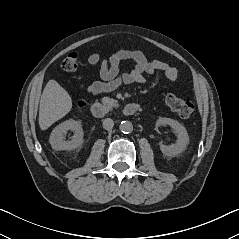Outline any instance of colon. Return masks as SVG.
I'll list each match as a JSON object with an SVG mask.
<instances>
[{
  "label": "colon",
  "instance_id": "colon-1",
  "mask_svg": "<svg viewBox=\"0 0 239 239\" xmlns=\"http://www.w3.org/2000/svg\"><path fill=\"white\" fill-rule=\"evenodd\" d=\"M79 64V54L71 52L65 57L61 67L65 72H73L78 68ZM166 103L181 118L190 117L194 110V105L190 101L181 99L173 94L167 95Z\"/></svg>",
  "mask_w": 239,
  "mask_h": 239
}]
</instances>
